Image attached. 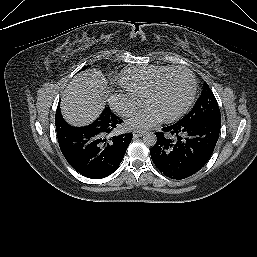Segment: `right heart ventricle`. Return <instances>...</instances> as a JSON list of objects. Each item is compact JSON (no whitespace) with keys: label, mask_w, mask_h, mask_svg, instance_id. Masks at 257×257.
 Returning a JSON list of instances; mask_svg holds the SVG:
<instances>
[{"label":"right heart ventricle","mask_w":257,"mask_h":257,"mask_svg":"<svg viewBox=\"0 0 257 257\" xmlns=\"http://www.w3.org/2000/svg\"><path fill=\"white\" fill-rule=\"evenodd\" d=\"M168 68L170 66L164 65L129 67L122 72L120 84L125 91L142 98L153 82Z\"/></svg>","instance_id":"right-heart-ventricle-1"}]
</instances>
